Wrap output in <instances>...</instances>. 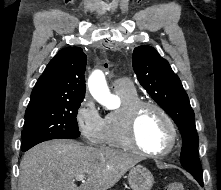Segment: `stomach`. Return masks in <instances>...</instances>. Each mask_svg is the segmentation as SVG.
<instances>
[{
	"mask_svg": "<svg viewBox=\"0 0 221 190\" xmlns=\"http://www.w3.org/2000/svg\"><path fill=\"white\" fill-rule=\"evenodd\" d=\"M128 182L132 190H151L154 177L146 167L137 165L130 169Z\"/></svg>",
	"mask_w": 221,
	"mask_h": 190,
	"instance_id": "stomach-1",
	"label": "stomach"
}]
</instances>
